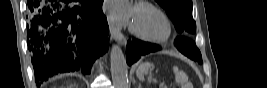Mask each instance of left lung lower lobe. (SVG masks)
Masks as SVG:
<instances>
[{"mask_svg": "<svg viewBox=\"0 0 267 88\" xmlns=\"http://www.w3.org/2000/svg\"><path fill=\"white\" fill-rule=\"evenodd\" d=\"M175 46L177 49L186 55L187 57L202 62V57L199 49L196 47L195 43L185 37H177L175 40ZM160 47L156 44L143 42L140 40H132L127 42L126 47V61L128 65L136 62L141 55L148 54L159 50Z\"/></svg>", "mask_w": 267, "mask_h": 88, "instance_id": "1", "label": "left lung lower lobe"}]
</instances>
